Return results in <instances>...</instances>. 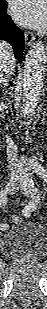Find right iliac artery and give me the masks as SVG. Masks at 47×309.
Masks as SVG:
<instances>
[{
    "mask_svg": "<svg viewBox=\"0 0 47 309\" xmlns=\"http://www.w3.org/2000/svg\"><path fill=\"white\" fill-rule=\"evenodd\" d=\"M6 194L1 191V194H0V206L1 208H4L5 205H6ZM2 230L6 229L7 228V224H1V227H0Z\"/></svg>",
    "mask_w": 47,
    "mask_h": 309,
    "instance_id": "1",
    "label": "right iliac artery"
}]
</instances>
